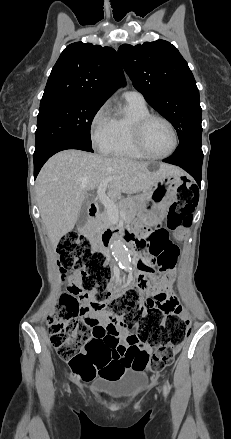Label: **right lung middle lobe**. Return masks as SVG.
I'll return each mask as SVG.
<instances>
[{
  "label": "right lung middle lobe",
  "mask_w": 231,
  "mask_h": 439,
  "mask_svg": "<svg viewBox=\"0 0 231 439\" xmlns=\"http://www.w3.org/2000/svg\"><path fill=\"white\" fill-rule=\"evenodd\" d=\"M103 102L80 98L40 103L35 132V152L59 138H69L92 147L90 127Z\"/></svg>",
  "instance_id": "obj_1"
}]
</instances>
